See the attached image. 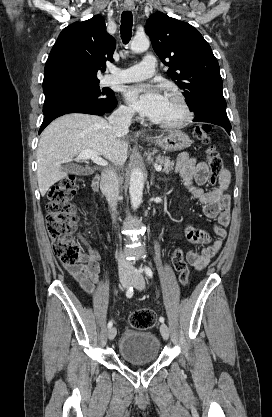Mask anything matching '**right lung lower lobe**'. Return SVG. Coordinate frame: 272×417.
Masks as SVG:
<instances>
[{"label": "right lung lower lobe", "mask_w": 272, "mask_h": 417, "mask_svg": "<svg viewBox=\"0 0 272 417\" xmlns=\"http://www.w3.org/2000/svg\"><path fill=\"white\" fill-rule=\"evenodd\" d=\"M117 105L116 98L108 105L98 106L96 104L91 103H80V102H72L61 105L50 113L45 115L43 123L40 127L39 133L55 118L62 116L68 113H85V114H93V115H104L105 113L111 112Z\"/></svg>", "instance_id": "1"}]
</instances>
